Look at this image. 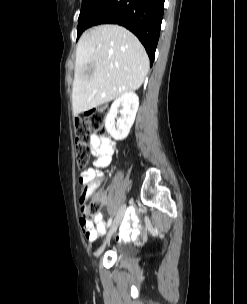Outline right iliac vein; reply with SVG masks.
Returning <instances> with one entry per match:
<instances>
[{
	"instance_id": "1",
	"label": "right iliac vein",
	"mask_w": 247,
	"mask_h": 304,
	"mask_svg": "<svg viewBox=\"0 0 247 304\" xmlns=\"http://www.w3.org/2000/svg\"><path fill=\"white\" fill-rule=\"evenodd\" d=\"M125 208H126L125 205H123V206H121V208L117 212V214L115 216V219L112 223V226L110 228V231H109L104 243L102 244V246L96 252V257H99L103 253V251H104L107 243L111 239L112 235L117 231V228H118V226L120 225V223L123 219V216H124V213H125Z\"/></svg>"
}]
</instances>
